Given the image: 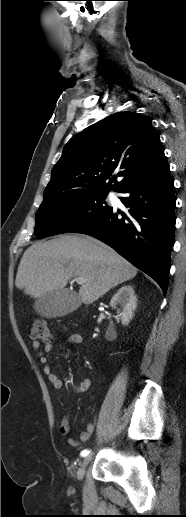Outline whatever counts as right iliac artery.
I'll return each instance as SVG.
<instances>
[{
  "label": "right iliac artery",
  "mask_w": 186,
  "mask_h": 517,
  "mask_svg": "<svg viewBox=\"0 0 186 517\" xmlns=\"http://www.w3.org/2000/svg\"><path fill=\"white\" fill-rule=\"evenodd\" d=\"M90 453V451L88 449H85L81 452V456L82 457H86L88 454Z\"/></svg>",
  "instance_id": "82829eb1"
}]
</instances>
